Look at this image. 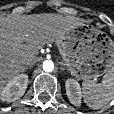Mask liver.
Wrapping results in <instances>:
<instances>
[{
	"instance_id": "obj_1",
	"label": "liver",
	"mask_w": 114,
	"mask_h": 114,
	"mask_svg": "<svg viewBox=\"0 0 114 114\" xmlns=\"http://www.w3.org/2000/svg\"><path fill=\"white\" fill-rule=\"evenodd\" d=\"M82 24L77 17L50 13L0 18V100L3 88L23 72L26 61L36 62L42 45L60 41Z\"/></svg>"
}]
</instances>
